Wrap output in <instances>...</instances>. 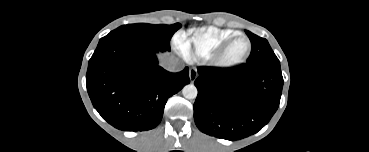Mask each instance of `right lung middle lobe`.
Instances as JSON below:
<instances>
[{
    "label": "right lung middle lobe",
    "mask_w": 369,
    "mask_h": 152,
    "mask_svg": "<svg viewBox=\"0 0 369 152\" xmlns=\"http://www.w3.org/2000/svg\"><path fill=\"white\" fill-rule=\"evenodd\" d=\"M179 28H181L179 23L173 25L143 23L122 25L101 38L99 44L114 39H135L153 45L161 51H170V39Z\"/></svg>",
    "instance_id": "dd1d6c3e"
}]
</instances>
